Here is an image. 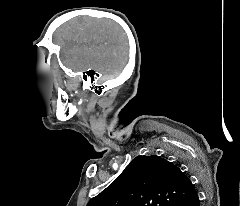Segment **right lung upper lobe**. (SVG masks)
Here are the masks:
<instances>
[{"label":"right lung upper lobe","mask_w":240,"mask_h":206,"mask_svg":"<svg viewBox=\"0 0 240 206\" xmlns=\"http://www.w3.org/2000/svg\"><path fill=\"white\" fill-rule=\"evenodd\" d=\"M194 194L177 166L156 155L138 156L87 206H175Z\"/></svg>","instance_id":"obj_1"}]
</instances>
